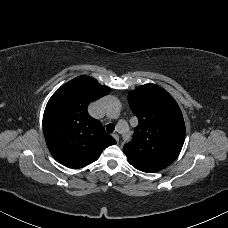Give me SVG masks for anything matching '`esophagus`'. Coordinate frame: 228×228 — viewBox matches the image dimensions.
<instances>
[{"label": "esophagus", "mask_w": 228, "mask_h": 228, "mask_svg": "<svg viewBox=\"0 0 228 228\" xmlns=\"http://www.w3.org/2000/svg\"><path fill=\"white\" fill-rule=\"evenodd\" d=\"M112 136L115 138V140H116L117 142H119V136H118V134L114 133Z\"/></svg>", "instance_id": "esophagus-1"}]
</instances>
